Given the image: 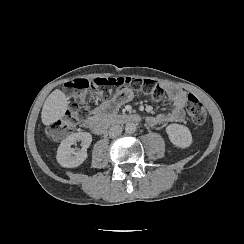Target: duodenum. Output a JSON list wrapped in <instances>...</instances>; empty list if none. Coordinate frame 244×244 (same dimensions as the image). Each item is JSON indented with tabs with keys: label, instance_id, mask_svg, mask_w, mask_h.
<instances>
[{
	"label": "duodenum",
	"instance_id": "obj_1",
	"mask_svg": "<svg viewBox=\"0 0 244 244\" xmlns=\"http://www.w3.org/2000/svg\"><path fill=\"white\" fill-rule=\"evenodd\" d=\"M142 116L138 113L130 114H109L103 117L101 122L93 128L97 136L105 134L109 128L124 123H138L141 122Z\"/></svg>",
	"mask_w": 244,
	"mask_h": 244
}]
</instances>
